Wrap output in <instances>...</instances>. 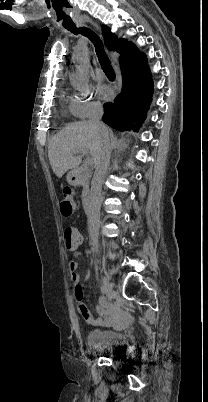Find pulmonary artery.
Here are the masks:
<instances>
[{"label": "pulmonary artery", "mask_w": 208, "mask_h": 402, "mask_svg": "<svg viewBox=\"0 0 208 402\" xmlns=\"http://www.w3.org/2000/svg\"><path fill=\"white\" fill-rule=\"evenodd\" d=\"M80 55H81V53L78 54V56H80ZM95 73L97 76H104L106 73V70L104 67H97L95 70Z\"/></svg>", "instance_id": "obj_1"}]
</instances>
